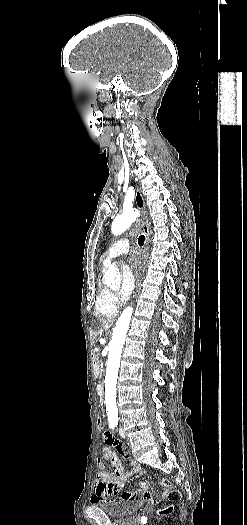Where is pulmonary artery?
Masks as SVG:
<instances>
[{
    "instance_id": "obj_1",
    "label": "pulmonary artery",
    "mask_w": 247,
    "mask_h": 525,
    "mask_svg": "<svg viewBox=\"0 0 247 525\" xmlns=\"http://www.w3.org/2000/svg\"><path fill=\"white\" fill-rule=\"evenodd\" d=\"M130 246V241L126 237L117 238L113 242L110 243L108 248L103 254V257L106 260L113 259L120 254L123 256H126L128 254V248Z\"/></svg>"
}]
</instances>
